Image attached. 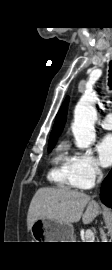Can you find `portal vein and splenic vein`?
Masks as SVG:
<instances>
[{"label":"portal vein and splenic vein","instance_id":"portal-vein-and-splenic-vein-1","mask_svg":"<svg viewBox=\"0 0 112 270\" xmlns=\"http://www.w3.org/2000/svg\"><path fill=\"white\" fill-rule=\"evenodd\" d=\"M85 242H94V233L92 232V230L87 229L85 232Z\"/></svg>","mask_w":112,"mask_h":270}]
</instances>
